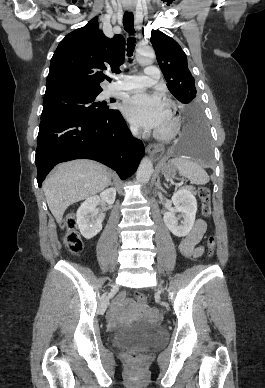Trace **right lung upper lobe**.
I'll return each instance as SVG.
<instances>
[{
    "instance_id": "1",
    "label": "right lung upper lobe",
    "mask_w": 265,
    "mask_h": 388,
    "mask_svg": "<svg viewBox=\"0 0 265 388\" xmlns=\"http://www.w3.org/2000/svg\"><path fill=\"white\" fill-rule=\"evenodd\" d=\"M125 40L107 38L97 17L65 36L50 62L44 97L65 93H100V82L110 79L105 71L119 73Z\"/></svg>"
}]
</instances>
